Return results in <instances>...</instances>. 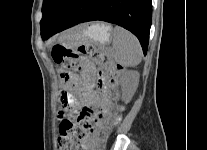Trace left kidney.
<instances>
[{
	"label": "left kidney",
	"mask_w": 207,
	"mask_h": 150,
	"mask_svg": "<svg viewBox=\"0 0 207 150\" xmlns=\"http://www.w3.org/2000/svg\"><path fill=\"white\" fill-rule=\"evenodd\" d=\"M139 83V73L137 71H126L122 78V95L125 102H128L135 93Z\"/></svg>",
	"instance_id": "left-kidney-1"
}]
</instances>
